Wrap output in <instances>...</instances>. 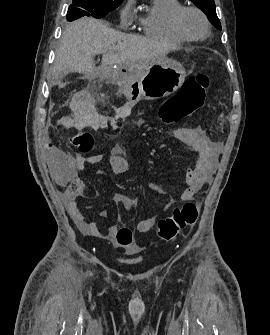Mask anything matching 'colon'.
I'll return each instance as SVG.
<instances>
[{"label": "colon", "mask_w": 270, "mask_h": 335, "mask_svg": "<svg viewBox=\"0 0 270 335\" xmlns=\"http://www.w3.org/2000/svg\"><path fill=\"white\" fill-rule=\"evenodd\" d=\"M209 86V77L200 74L188 79L182 89L165 100L159 110V116L164 123L175 124L183 121L195 110L201 107L205 99V89ZM70 144L79 152L89 154L94 152L96 142L90 132H76L70 137ZM198 218L197 204L187 201L177 206L172 214L161 218L156 226L157 234L162 241L174 240L178 234L193 226ZM117 241L122 246H129L132 242V232L129 228H120Z\"/></svg>", "instance_id": "obj_1"}]
</instances>
